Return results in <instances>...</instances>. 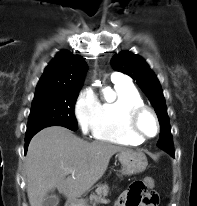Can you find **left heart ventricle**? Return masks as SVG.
<instances>
[{
	"label": "left heart ventricle",
	"instance_id": "1",
	"mask_svg": "<svg viewBox=\"0 0 197 206\" xmlns=\"http://www.w3.org/2000/svg\"><path fill=\"white\" fill-rule=\"evenodd\" d=\"M140 128L146 135H153L156 131V126L153 118L146 114L140 120Z\"/></svg>",
	"mask_w": 197,
	"mask_h": 206
}]
</instances>
